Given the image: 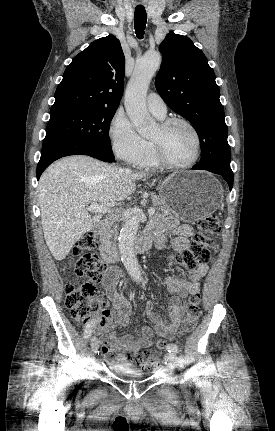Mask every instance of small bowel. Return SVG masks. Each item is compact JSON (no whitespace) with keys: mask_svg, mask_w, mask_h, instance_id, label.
<instances>
[{"mask_svg":"<svg viewBox=\"0 0 275 431\" xmlns=\"http://www.w3.org/2000/svg\"><path fill=\"white\" fill-rule=\"evenodd\" d=\"M152 238L159 249L165 248L166 235H173L172 247L181 252L189 245V238L193 229L188 224H179L173 217L155 223L150 227ZM207 263L198 265L190 270L185 277L169 276L165 280L167 290L173 295L168 306V316L163 319L154 310L149 302L145 314L152 323L153 328H141L137 336L129 334L118 335L113 331L117 325L126 326L130 322L131 305L129 301L117 291L119 272L109 269L102 280L103 288L112 303V309L106 310L105 324L97 327L95 332L101 337V351L109 363L133 364L135 356L152 345V337L156 333L161 338H167L178 329L184 310L185 298L199 292L201 279L207 274Z\"/></svg>","mask_w":275,"mask_h":431,"instance_id":"c3829d8e","label":"small bowel"}]
</instances>
